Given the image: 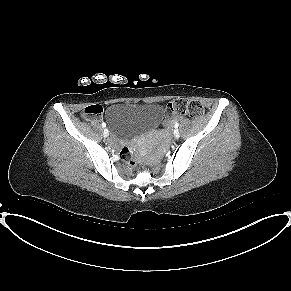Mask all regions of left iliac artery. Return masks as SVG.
I'll list each match as a JSON object with an SVG mask.
<instances>
[{"label":"left iliac artery","instance_id":"left-iliac-artery-1","mask_svg":"<svg viewBox=\"0 0 291 291\" xmlns=\"http://www.w3.org/2000/svg\"><path fill=\"white\" fill-rule=\"evenodd\" d=\"M174 126H175V128H178L179 124H178V123H175V125H174Z\"/></svg>","mask_w":291,"mask_h":291}]
</instances>
